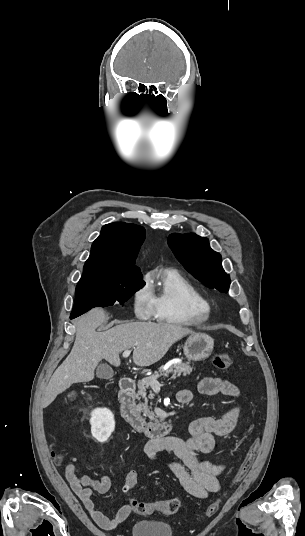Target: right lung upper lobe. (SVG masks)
Instances as JSON below:
<instances>
[{"mask_svg": "<svg viewBox=\"0 0 305 536\" xmlns=\"http://www.w3.org/2000/svg\"><path fill=\"white\" fill-rule=\"evenodd\" d=\"M144 238L145 229L138 225L116 222L103 226L100 236L92 244L82 277H143L134 264Z\"/></svg>", "mask_w": 305, "mask_h": 536, "instance_id": "right-lung-upper-lobe-1", "label": "right lung upper lobe"}]
</instances>
